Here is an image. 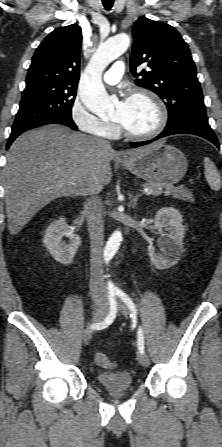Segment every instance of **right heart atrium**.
Instances as JSON below:
<instances>
[{"label": "right heart atrium", "mask_w": 222, "mask_h": 447, "mask_svg": "<svg viewBox=\"0 0 222 447\" xmlns=\"http://www.w3.org/2000/svg\"><path fill=\"white\" fill-rule=\"evenodd\" d=\"M70 115L73 123L83 132L103 137H110L109 134L114 132L115 124L103 121L91 113L83 98L74 103Z\"/></svg>", "instance_id": "obj_1"}]
</instances>
